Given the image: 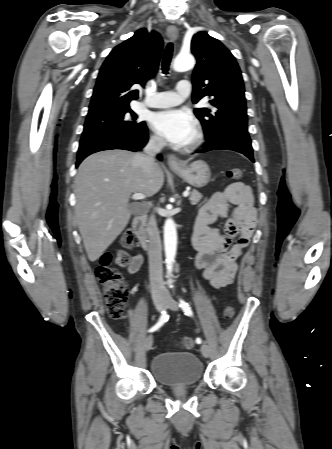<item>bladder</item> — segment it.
<instances>
[{
    "mask_svg": "<svg viewBox=\"0 0 332 449\" xmlns=\"http://www.w3.org/2000/svg\"><path fill=\"white\" fill-rule=\"evenodd\" d=\"M151 373L163 386H192L203 378L204 367L191 352H163L153 358Z\"/></svg>",
    "mask_w": 332,
    "mask_h": 449,
    "instance_id": "bladder-1",
    "label": "bladder"
}]
</instances>
